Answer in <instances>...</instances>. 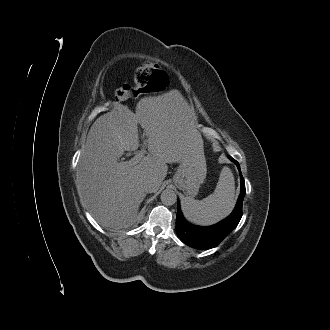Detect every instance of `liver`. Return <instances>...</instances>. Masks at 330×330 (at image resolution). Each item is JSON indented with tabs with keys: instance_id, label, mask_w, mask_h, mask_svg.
Instances as JSON below:
<instances>
[{
	"instance_id": "6515ba94",
	"label": "liver",
	"mask_w": 330,
	"mask_h": 330,
	"mask_svg": "<svg viewBox=\"0 0 330 330\" xmlns=\"http://www.w3.org/2000/svg\"><path fill=\"white\" fill-rule=\"evenodd\" d=\"M138 123L147 137L144 144L149 154L137 164L119 162L124 151L139 147ZM202 149L193 110L186 103L168 97L141 99L136 113L112 111L93 123L79 160L78 193L101 226L127 228L136 221L146 196L143 181L153 178L159 189L167 163H178Z\"/></svg>"
}]
</instances>
